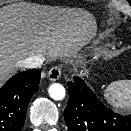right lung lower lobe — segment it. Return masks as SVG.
<instances>
[{"mask_svg":"<svg viewBox=\"0 0 131 131\" xmlns=\"http://www.w3.org/2000/svg\"><path fill=\"white\" fill-rule=\"evenodd\" d=\"M37 69L13 76L0 89V131H21L28 103L39 86Z\"/></svg>","mask_w":131,"mask_h":131,"instance_id":"right-lung-lower-lobe-1","label":"right lung lower lobe"}]
</instances>
